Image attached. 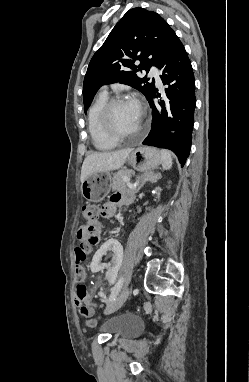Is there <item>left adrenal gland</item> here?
<instances>
[{
  "label": "left adrenal gland",
  "mask_w": 249,
  "mask_h": 382,
  "mask_svg": "<svg viewBox=\"0 0 249 382\" xmlns=\"http://www.w3.org/2000/svg\"><path fill=\"white\" fill-rule=\"evenodd\" d=\"M161 178V173H145L141 176L139 186L136 190V192H139V190L144 186V184L148 181L150 182H156L158 179Z\"/></svg>",
  "instance_id": "left-adrenal-gland-1"
}]
</instances>
